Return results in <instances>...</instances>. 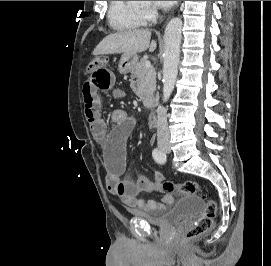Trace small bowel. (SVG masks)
Segmentation results:
<instances>
[{
    "label": "small bowel",
    "mask_w": 271,
    "mask_h": 266,
    "mask_svg": "<svg viewBox=\"0 0 271 266\" xmlns=\"http://www.w3.org/2000/svg\"><path fill=\"white\" fill-rule=\"evenodd\" d=\"M116 84V74L108 66H102L90 71V78L83 86L84 112L90 126L93 138L106 144L105 173L108 190L119 197L124 204L142 211H162L172 202L173 196L164 195L160 200L142 199L141 192L158 191L164 176L155 171L154 180L145 176H138L135 180L123 179L122 174L126 166V137L132 127L133 121L123 110L112 113L114 127L109 129L101 117V101L99 91L113 90Z\"/></svg>",
    "instance_id": "c3829d8e"
}]
</instances>
